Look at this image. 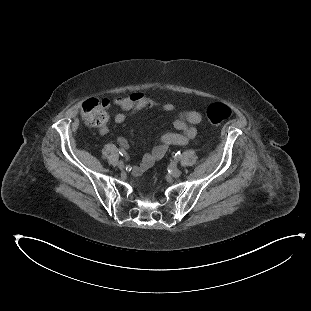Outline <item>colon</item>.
<instances>
[{
	"instance_id": "1",
	"label": "colon",
	"mask_w": 311,
	"mask_h": 311,
	"mask_svg": "<svg viewBox=\"0 0 311 311\" xmlns=\"http://www.w3.org/2000/svg\"><path fill=\"white\" fill-rule=\"evenodd\" d=\"M111 103L106 99H90L82 106V118L85 122L96 126L104 127L108 120V108ZM208 121L213 125H218L230 118L232 109L224 103H214L207 110Z\"/></svg>"
}]
</instances>
